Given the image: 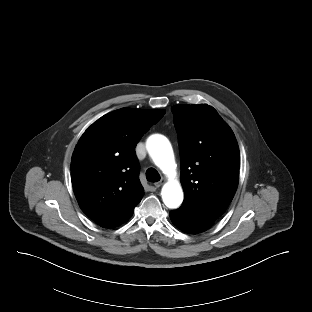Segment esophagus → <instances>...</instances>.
I'll return each mask as SVG.
<instances>
[{
	"mask_svg": "<svg viewBox=\"0 0 312 312\" xmlns=\"http://www.w3.org/2000/svg\"><path fill=\"white\" fill-rule=\"evenodd\" d=\"M164 182H165V179L162 178L160 181L155 182L154 185L156 188H159L164 184Z\"/></svg>",
	"mask_w": 312,
	"mask_h": 312,
	"instance_id": "34e87169",
	"label": "esophagus"
}]
</instances>
